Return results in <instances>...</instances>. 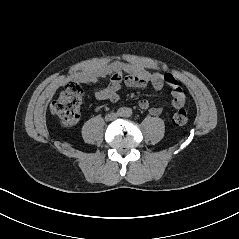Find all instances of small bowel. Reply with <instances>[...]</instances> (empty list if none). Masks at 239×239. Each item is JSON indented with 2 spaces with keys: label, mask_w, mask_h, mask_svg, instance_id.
Instances as JSON below:
<instances>
[{
  "label": "small bowel",
  "mask_w": 239,
  "mask_h": 239,
  "mask_svg": "<svg viewBox=\"0 0 239 239\" xmlns=\"http://www.w3.org/2000/svg\"><path fill=\"white\" fill-rule=\"evenodd\" d=\"M103 76H110V82L107 86L96 90L95 97L100 101L117 102L119 90L123 84L134 88H142L150 84L156 90H161L164 86L171 88L173 108L179 109L185 105V93L174 75L149 72L137 63L115 61L97 69L80 70L73 77L82 82L91 83ZM139 107L153 116L162 113L160 106H152L146 99L139 101Z\"/></svg>",
  "instance_id": "obj_1"
}]
</instances>
